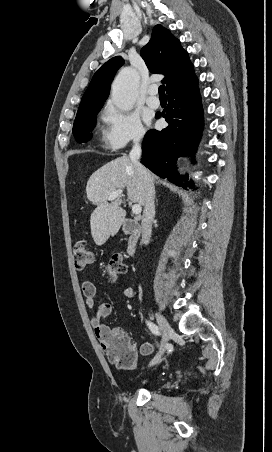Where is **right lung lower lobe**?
<instances>
[{
    "label": "right lung lower lobe",
    "instance_id": "1",
    "mask_svg": "<svg viewBox=\"0 0 272 452\" xmlns=\"http://www.w3.org/2000/svg\"><path fill=\"white\" fill-rule=\"evenodd\" d=\"M168 106L162 112L169 124L162 131L150 130L146 133L142 145L141 163L161 178L183 186H190L187 176L182 178L176 170V159L193 155L203 128L201 98L196 76L185 84L170 91L167 95Z\"/></svg>",
    "mask_w": 272,
    "mask_h": 452
}]
</instances>
